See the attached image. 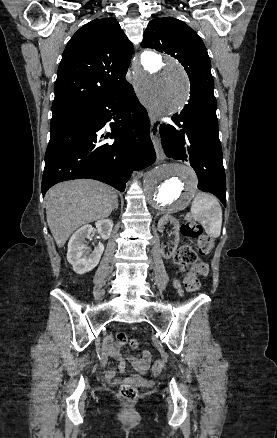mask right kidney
Masks as SVG:
<instances>
[{
	"instance_id": "right-kidney-1",
	"label": "right kidney",
	"mask_w": 277,
	"mask_h": 438,
	"mask_svg": "<svg viewBox=\"0 0 277 438\" xmlns=\"http://www.w3.org/2000/svg\"><path fill=\"white\" fill-rule=\"evenodd\" d=\"M95 226L103 240L110 238L113 228L112 220H98ZM91 232H93L92 226H82L74 232L68 242L67 260L76 274H86L94 270L104 252L103 244H98L93 252L87 248L86 240H89Z\"/></svg>"
}]
</instances>
